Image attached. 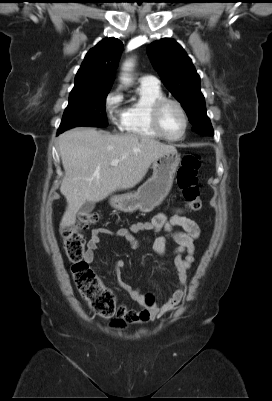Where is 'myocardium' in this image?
Here are the masks:
<instances>
[{
  "label": "myocardium",
  "instance_id": "myocardium-1",
  "mask_svg": "<svg viewBox=\"0 0 272 401\" xmlns=\"http://www.w3.org/2000/svg\"><path fill=\"white\" fill-rule=\"evenodd\" d=\"M168 105L176 106L178 108V110L180 111V113L183 117V121H184L183 132L179 137H176V138H173V137H170L169 135H167L161 124V116H162L163 110ZM151 123H152L154 130L162 138H164L165 140L170 141V142H178V141L183 140L187 134L188 127H189L188 115H187L186 110L183 107V105L178 100L166 98V97L158 100L153 105L152 110H151Z\"/></svg>",
  "mask_w": 272,
  "mask_h": 401
}]
</instances>
